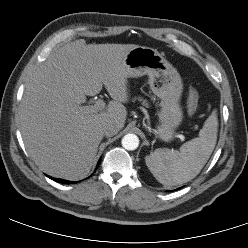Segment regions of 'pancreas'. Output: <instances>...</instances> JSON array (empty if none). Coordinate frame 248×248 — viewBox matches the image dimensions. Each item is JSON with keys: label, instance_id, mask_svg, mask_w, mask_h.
Here are the masks:
<instances>
[{"label": "pancreas", "instance_id": "pancreas-1", "mask_svg": "<svg viewBox=\"0 0 248 248\" xmlns=\"http://www.w3.org/2000/svg\"><path fill=\"white\" fill-rule=\"evenodd\" d=\"M140 101H142V104L144 105V106H148V104L146 103V101L145 100H142V99H139Z\"/></svg>", "mask_w": 248, "mask_h": 248}]
</instances>
